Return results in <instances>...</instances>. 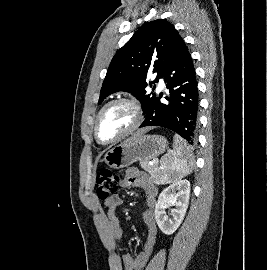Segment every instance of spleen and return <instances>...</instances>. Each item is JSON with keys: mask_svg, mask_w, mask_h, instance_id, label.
<instances>
[{"mask_svg": "<svg viewBox=\"0 0 267 270\" xmlns=\"http://www.w3.org/2000/svg\"><path fill=\"white\" fill-rule=\"evenodd\" d=\"M193 158L187 142L179 135L174 136L173 150L161 159L159 183L178 181L192 172Z\"/></svg>", "mask_w": 267, "mask_h": 270, "instance_id": "3e777b00", "label": "spleen"}]
</instances>
